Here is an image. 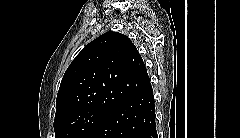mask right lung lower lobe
Wrapping results in <instances>:
<instances>
[{
    "mask_svg": "<svg viewBox=\"0 0 240 138\" xmlns=\"http://www.w3.org/2000/svg\"><path fill=\"white\" fill-rule=\"evenodd\" d=\"M87 138H157L151 84L109 109Z\"/></svg>",
    "mask_w": 240,
    "mask_h": 138,
    "instance_id": "98d812e1",
    "label": "right lung lower lobe"
}]
</instances>
